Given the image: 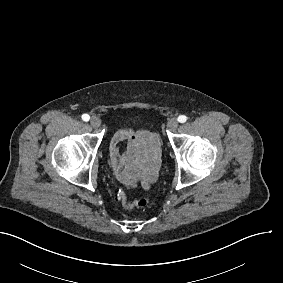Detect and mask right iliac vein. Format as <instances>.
I'll return each instance as SVG.
<instances>
[{
	"mask_svg": "<svg viewBox=\"0 0 283 283\" xmlns=\"http://www.w3.org/2000/svg\"><path fill=\"white\" fill-rule=\"evenodd\" d=\"M90 124H91L93 127L97 128V127H99V126L101 125V121H100V119L97 118V117H92L91 120H90Z\"/></svg>",
	"mask_w": 283,
	"mask_h": 283,
	"instance_id": "obj_1",
	"label": "right iliac vein"
}]
</instances>
